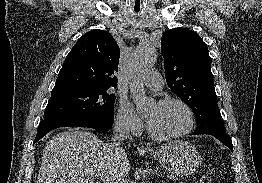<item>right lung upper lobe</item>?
Here are the masks:
<instances>
[{
  "mask_svg": "<svg viewBox=\"0 0 262 183\" xmlns=\"http://www.w3.org/2000/svg\"><path fill=\"white\" fill-rule=\"evenodd\" d=\"M119 56L112 35L97 29L87 32L68 53L52 92L116 86Z\"/></svg>",
  "mask_w": 262,
  "mask_h": 183,
  "instance_id": "1",
  "label": "right lung upper lobe"
}]
</instances>
